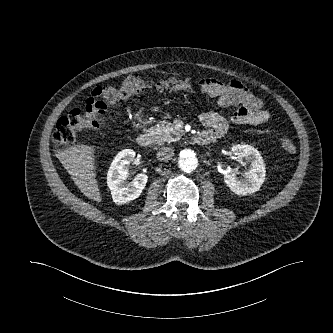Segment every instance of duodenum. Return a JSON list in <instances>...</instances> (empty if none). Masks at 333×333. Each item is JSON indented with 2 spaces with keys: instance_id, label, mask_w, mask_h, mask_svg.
Wrapping results in <instances>:
<instances>
[{
  "instance_id": "obj_1",
  "label": "duodenum",
  "mask_w": 333,
  "mask_h": 333,
  "mask_svg": "<svg viewBox=\"0 0 333 333\" xmlns=\"http://www.w3.org/2000/svg\"><path fill=\"white\" fill-rule=\"evenodd\" d=\"M213 140V136L208 132H202L194 138L198 145H207ZM137 143L142 147H149L154 142L153 135L149 133H139L136 138Z\"/></svg>"
}]
</instances>
